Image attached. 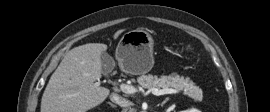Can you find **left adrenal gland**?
<instances>
[{"instance_id":"1","label":"left adrenal gland","mask_w":270,"mask_h":112,"mask_svg":"<svg viewBox=\"0 0 270 112\" xmlns=\"http://www.w3.org/2000/svg\"><path fill=\"white\" fill-rule=\"evenodd\" d=\"M167 101H168V99H166L165 101H163L162 104H161V107H163L164 104H165Z\"/></svg>"}]
</instances>
